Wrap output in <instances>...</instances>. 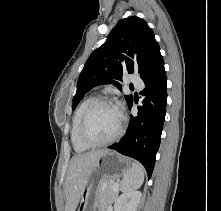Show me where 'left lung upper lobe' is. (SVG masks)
I'll return each mask as SVG.
<instances>
[{
    "instance_id": "left-lung-upper-lobe-1",
    "label": "left lung upper lobe",
    "mask_w": 221,
    "mask_h": 211,
    "mask_svg": "<svg viewBox=\"0 0 221 211\" xmlns=\"http://www.w3.org/2000/svg\"><path fill=\"white\" fill-rule=\"evenodd\" d=\"M159 50L154 33L144 20L137 16L120 20L106 42L88 58L77 82L72 108L96 85L119 86L124 72L137 71L141 76ZM125 99L129 104L133 97Z\"/></svg>"
}]
</instances>
